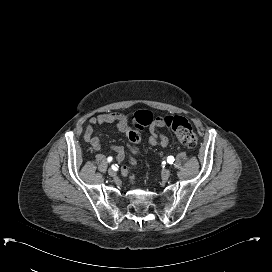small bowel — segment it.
<instances>
[{
    "label": "small bowel",
    "mask_w": 272,
    "mask_h": 272,
    "mask_svg": "<svg viewBox=\"0 0 272 272\" xmlns=\"http://www.w3.org/2000/svg\"><path fill=\"white\" fill-rule=\"evenodd\" d=\"M102 124H114L116 129L125 134H130L132 129L128 123V117L125 114L119 112H109V113H102L95 117H92L84 132V140L88 142L93 150L99 151L101 150V140L99 137L93 135V130L96 125ZM163 122L161 118L155 119L151 125L149 126V131L151 136L148 139V143L152 146L159 145L162 148L168 147L170 143V139L168 136L162 134L160 132V128L163 127ZM131 150L133 152H139L140 148L138 146H131ZM111 149L116 154V159L118 162H121L124 158V149L120 145H111ZM130 167L123 166L121 171L123 174H126L129 171Z\"/></svg>",
    "instance_id": "1"
}]
</instances>
